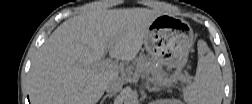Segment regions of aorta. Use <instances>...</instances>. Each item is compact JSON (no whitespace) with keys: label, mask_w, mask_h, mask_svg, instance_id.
<instances>
[{"label":"aorta","mask_w":252,"mask_h":104,"mask_svg":"<svg viewBox=\"0 0 252 104\" xmlns=\"http://www.w3.org/2000/svg\"><path fill=\"white\" fill-rule=\"evenodd\" d=\"M125 102H127V103H132V102H134V101H133V98H132L130 95H126V96H125Z\"/></svg>","instance_id":"762f6f07"}]
</instances>
